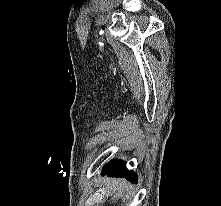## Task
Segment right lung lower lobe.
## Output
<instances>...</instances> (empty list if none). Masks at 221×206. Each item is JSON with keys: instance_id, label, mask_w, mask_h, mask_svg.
Segmentation results:
<instances>
[{"instance_id": "obj_1", "label": "right lung lower lobe", "mask_w": 221, "mask_h": 206, "mask_svg": "<svg viewBox=\"0 0 221 206\" xmlns=\"http://www.w3.org/2000/svg\"><path fill=\"white\" fill-rule=\"evenodd\" d=\"M103 174L125 177L132 182H137V175H135L133 171H128L125 167V163L121 160H113L107 163L103 168Z\"/></svg>"}]
</instances>
